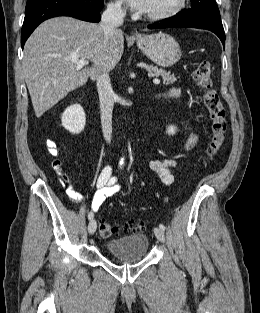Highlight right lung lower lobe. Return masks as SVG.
<instances>
[{"instance_id":"right-lung-lower-lobe-1","label":"right lung lower lobe","mask_w":260,"mask_h":313,"mask_svg":"<svg viewBox=\"0 0 260 313\" xmlns=\"http://www.w3.org/2000/svg\"><path fill=\"white\" fill-rule=\"evenodd\" d=\"M102 0H27L25 18L21 31L22 48L44 20L57 16H71L88 22H99Z\"/></svg>"}]
</instances>
